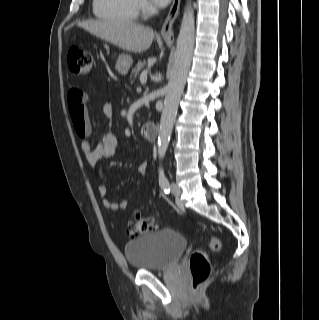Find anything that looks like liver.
<instances>
[{
  "label": "liver",
  "instance_id": "1",
  "mask_svg": "<svg viewBox=\"0 0 319 320\" xmlns=\"http://www.w3.org/2000/svg\"><path fill=\"white\" fill-rule=\"evenodd\" d=\"M78 26L133 53L149 49L155 36L153 29L131 21L87 20L80 22Z\"/></svg>",
  "mask_w": 319,
  "mask_h": 320
}]
</instances>
